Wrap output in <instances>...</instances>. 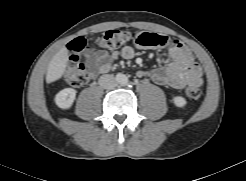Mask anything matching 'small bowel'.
Segmentation results:
<instances>
[{
	"instance_id": "c3829d8e",
	"label": "small bowel",
	"mask_w": 246,
	"mask_h": 181,
	"mask_svg": "<svg viewBox=\"0 0 246 181\" xmlns=\"http://www.w3.org/2000/svg\"><path fill=\"white\" fill-rule=\"evenodd\" d=\"M84 56L96 73H106L112 64L119 58L131 59L135 51L131 46H124L119 52H107L105 50L84 49ZM168 55L171 61L162 68L138 71L139 77H148L156 84L182 89L187 84L201 85L202 68L195 61L190 49L174 40L168 47Z\"/></svg>"
}]
</instances>
